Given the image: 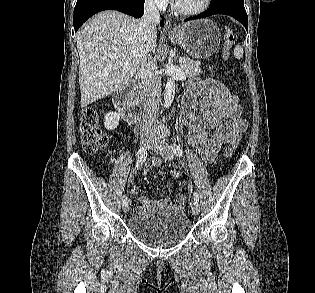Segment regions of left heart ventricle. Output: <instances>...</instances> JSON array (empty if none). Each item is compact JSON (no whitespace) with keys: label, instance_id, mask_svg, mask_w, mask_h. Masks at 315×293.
I'll use <instances>...</instances> for the list:
<instances>
[{"label":"left heart ventricle","instance_id":"left-heart-ventricle-1","mask_svg":"<svg viewBox=\"0 0 315 293\" xmlns=\"http://www.w3.org/2000/svg\"><path fill=\"white\" fill-rule=\"evenodd\" d=\"M176 2L183 9L192 10L199 8L204 0H176Z\"/></svg>","mask_w":315,"mask_h":293}]
</instances>
